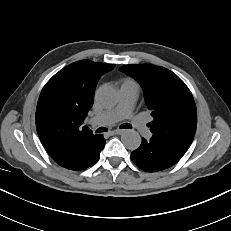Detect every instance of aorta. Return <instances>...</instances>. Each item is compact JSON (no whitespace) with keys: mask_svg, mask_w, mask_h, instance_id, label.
Masks as SVG:
<instances>
[{"mask_svg":"<svg viewBox=\"0 0 231 231\" xmlns=\"http://www.w3.org/2000/svg\"><path fill=\"white\" fill-rule=\"evenodd\" d=\"M95 98L100 105L111 107L118 102V92L114 87L104 85L97 89ZM121 139L125 147L129 150H136L141 144V137L139 133L134 130L126 131Z\"/></svg>","mask_w":231,"mask_h":231,"instance_id":"1","label":"aorta"}]
</instances>
